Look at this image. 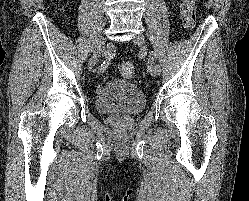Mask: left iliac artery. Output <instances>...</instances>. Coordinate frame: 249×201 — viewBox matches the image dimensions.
Returning a JSON list of instances; mask_svg holds the SVG:
<instances>
[{
	"mask_svg": "<svg viewBox=\"0 0 249 201\" xmlns=\"http://www.w3.org/2000/svg\"><path fill=\"white\" fill-rule=\"evenodd\" d=\"M150 57H151V59L153 61H156V59H157L156 53L153 52V51L150 52ZM156 68H157L158 73H160L161 72V67H160L159 64H156Z\"/></svg>",
	"mask_w": 249,
	"mask_h": 201,
	"instance_id": "left-iliac-artery-1",
	"label": "left iliac artery"
}]
</instances>
